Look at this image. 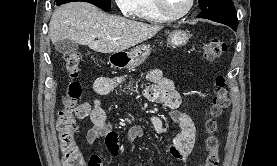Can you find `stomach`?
Instances as JSON below:
<instances>
[{
    "mask_svg": "<svg viewBox=\"0 0 277 166\" xmlns=\"http://www.w3.org/2000/svg\"><path fill=\"white\" fill-rule=\"evenodd\" d=\"M188 39L189 34L183 30H175L168 35V43L173 47L185 45ZM150 53L149 45H139L129 51L111 54L109 63L115 67L132 69L144 63Z\"/></svg>",
    "mask_w": 277,
    "mask_h": 166,
    "instance_id": "0dacf381",
    "label": "stomach"
}]
</instances>
